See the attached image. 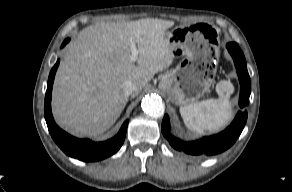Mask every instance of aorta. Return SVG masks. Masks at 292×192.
Listing matches in <instances>:
<instances>
[{"mask_svg":"<svg viewBox=\"0 0 292 192\" xmlns=\"http://www.w3.org/2000/svg\"><path fill=\"white\" fill-rule=\"evenodd\" d=\"M141 107L145 113L154 117H160L164 113L162 100L156 95H148L143 98Z\"/></svg>","mask_w":292,"mask_h":192,"instance_id":"obj_1","label":"aorta"}]
</instances>
